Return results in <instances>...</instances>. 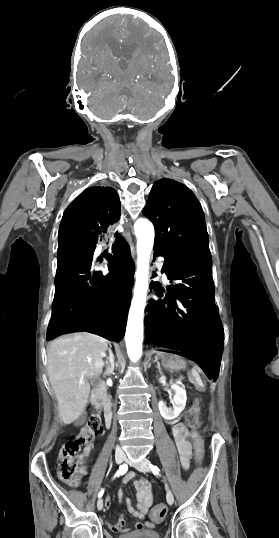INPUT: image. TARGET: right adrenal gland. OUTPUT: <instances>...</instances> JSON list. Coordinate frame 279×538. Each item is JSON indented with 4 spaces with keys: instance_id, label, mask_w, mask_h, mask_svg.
I'll list each match as a JSON object with an SVG mask.
<instances>
[{
    "instance_id": "obj_1",
    "label": "right adrenal gland",
    "mask_w": 279,
    "mask_h": 538,
    "mask_svg": "<svg viewBox=\"0 0 279 538\" xmlns=\"http://www.w3.org/2000/svg\"><path fill=\"white\" fill-rule=\"evenodd\" d=\"M108 352H109V356H108L107 360H109V362L111 364V368H112V370H114V360H115L114 354H113L111 348H108ZM107 364H108V362H107ZM112 370H109V368H107V370H106V372H104V374H110V372H112Z\"/></svg>"
}]
</instances>
